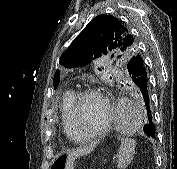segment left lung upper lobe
Instances as JSON below:
<instances>
[{
	"instance_id": "obj_1",
	"label": "left lung upper lobe",
	"mask_w": 177,
	"mask_h": 169,
	"mask_svg": "<svg viewBox=\"0 0 177 169\" xmlns=\"http://www.w3.org/2000/svg\"><path fill=\"white\" fill-rule=\"evenodd\" d=\"M136 54L137 44L129 29L116 17L98 15L62 54L60 64L72 68L104 55L127 63ZM57 85L54 83V88Z\"/></svg>"
}]
</instances>
